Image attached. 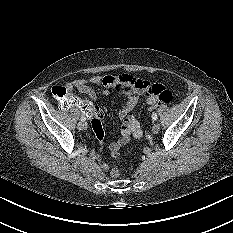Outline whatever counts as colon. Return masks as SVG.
I'll return each instance as SVG.
<instances>
[{
  "instance_id": "colon-1",
  "label": "colon",
  "mask_w": 233,
  "mask_h": 233,
  "mask_svg": "<svg viewBox=\"0 0 233 233\" xmlns=\"http://www.w3.org/2000/svg\"><path fill=\"white\" fill-rule=\"evenodd\" d=\"M130 84L138 88H146L149 94L155 96V99L149 104L151 107H157L163 104H170L174 101V95L171 91L167 90L160 84H152L150 86L142 85V83L136 79L131 78ZM52 94L55 99L60 102L61 107L68 108L70 106L77 108L78 110L87 114L94 120H91V127L94 130V138L96 143L103 144L106 141L105 128L99 118L102 117V111L94 102L87 98H82L78 95H71L64 86H55L52 89ZM113 157H118L119 152H112ZM112 175L118 176V169L114 167L112 169Z\"/></svg>"
}]
</instances>
